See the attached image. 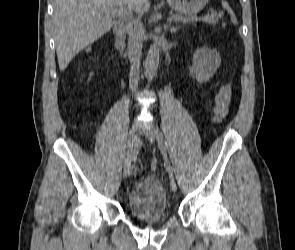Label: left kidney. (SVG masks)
I'll use <instances>...</instances> for the list:
<instances>
[{
	"label": "left kidney",
	"mask_w": 295,
	"mask_h": 250,
	"mask_svg": "<svg viewBox=\"0 0 295 250\" xmlns=\"http://www.w3.org/2000/svg\"><path fill=\"white\" fill-rule=\"evenodd\" d=\"M220 64L221 58L217 51L200 48L193 55V65L189 68V73L198 82H207Z\"/></svg>",
	"instance_id": "obj_1"
}]
</instances>
